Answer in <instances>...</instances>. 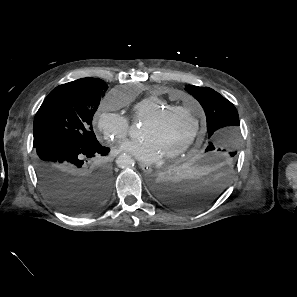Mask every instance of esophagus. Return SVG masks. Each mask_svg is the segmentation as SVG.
I'll list each match as a JSON object with an SVG mask.
<instances>
[{
    "label": "esophagus",
    "instance_id": "obj_1",
    "mask_svg": "<svg viewBox=\"0 0 297 297\" xmlns=\"http://www.w3.org/2000/svg\"><path fill=\"white\" fill-rule=\"evenodd\" d=\"M140 168L147 174H150L152 172V168L144 163H139Z\"/></svg>",
    "mask_w": 297,
    "mask_h": 297
}]
</instances>
